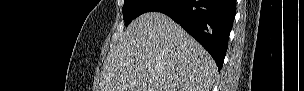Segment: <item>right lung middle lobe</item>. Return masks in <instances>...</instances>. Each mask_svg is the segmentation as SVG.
<instances>
[{"label":"right lung middle lobe","instance_id":"1","mask_svg":"<svg viewBox=\"0 0 304 91\" xmlns=\"http://www.w3.org/2000/svg\"><path fill=\"white\" fill-rule=\"evenodd\" d=\"M155 0H125L123 6V19L128 26L133 19L147 12Z\"/></svg>","mask_w":304,"mask_h":91}]
</instances>
